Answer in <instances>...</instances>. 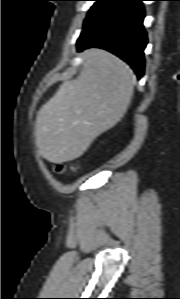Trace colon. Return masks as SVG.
I'll return each instance as SVG.
<instances>
[{"label":"colon","instance_id":"5ec220e1","mask_svg":"<svg viewBox=\"0 0 180 299\" xmlns=\"http://www.w3.org/2000/svg\"><path fill=\"white\" fill-rule=\"evenodd\" d=\"M66 170H70L72 172H75L77 170V166L75 165H65V164H58L55 171L57 173H62Z\"/></svg>","mask_w":180,"mask_h":299}]
</instances>
